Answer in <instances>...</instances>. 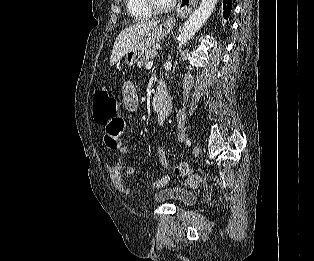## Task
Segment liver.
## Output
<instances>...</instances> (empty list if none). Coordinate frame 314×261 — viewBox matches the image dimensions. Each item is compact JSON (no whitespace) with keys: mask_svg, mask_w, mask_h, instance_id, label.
<instances>
[{"mask_svg":"<svg viewBox=\"0 0 314 261\" xmlns=\"http://www.w3.org/2000/svg\"><path fill=\"white\" fill-rule=\"evenodd\" d=\"M159 25V21H143L131 25L120 32L110 56V66L115 65L123 56L132 50L153 28Z\"/></svg>","mask_w":314,"mask_h":261,"instance_id":"obj_1","label":"liver"}]
</instances>
